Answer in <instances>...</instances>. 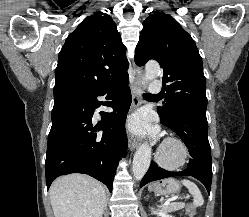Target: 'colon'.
Wrapping results in <instances>:
<instances>
[{"mask_svg":"<svg viewBox=\"0 0 249 217\" xmlns=\"http://www.w3.org/2000/svg\"><path fill=\"white\" fill-rule=\"evenodd\" d=\"M186 212H187L188 217H194L196 209L193 205H189Z\"/></svg>","mask_w":249,"mask_h":217,"instance_id":"obj_1","label":"colon"}]
</instances>
